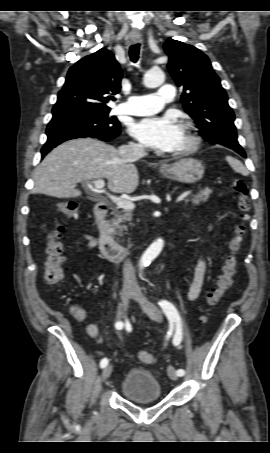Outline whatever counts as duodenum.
I'll list each match as a JSON object with an SVG mask.
<instances>
[{"label":"duodenum","instance_id":"410a0bca","mask_svg":"<svg viewBox=\"0 0 270 453\" xmlns=\"http://www.w3.org/2000/svg\"><path fill=\"white\" fill-rule=\"evenodd\" d=\"M108 209L106 203H98L94 208V220L99 232V248L106 259L121 262L128 256L129 249L115 241L109 232L106 222Z\"/></svg>","mask_w":270,"mask_h":453}]
</instances>
